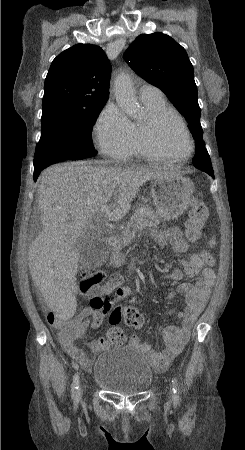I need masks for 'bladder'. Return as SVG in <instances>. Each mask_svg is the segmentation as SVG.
<instances>
[{
	"label": "bladder",
	"instance_id": "31cf9c89",
	"mask_svg": "<svg viewBox=\"0 0 245 450\" xmlns=\"http://www.w3.org/2000/svg\"><path fill=\"white\" fill-rule=\"evenodd\" d=\"M92 377L97 386L119 394L144 392L154 381L150 365L130 347L114 348L100 356Z\"/></svg>",
	"mask_w": 245,
	"mask_h": 450
}]
</instances>
